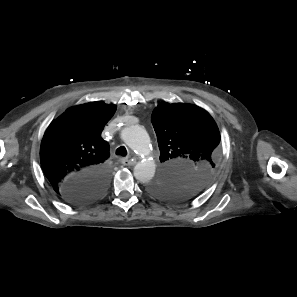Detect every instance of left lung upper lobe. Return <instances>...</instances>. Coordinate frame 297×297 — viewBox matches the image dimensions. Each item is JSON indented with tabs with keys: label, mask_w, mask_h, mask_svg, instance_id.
<instances>
[{
	"label": "left lung upper lobe",
	"mask_w": 297,
	"mask_h": 297,
	"mask_svg": "<svg viewBox=\"0 0 297 297\" xmlns=\"http://www.w3.org/2000/svg\"><path fill=\"white\" fill-rule=\"evenodd\" d=\"M151 121L163 171L149 185L150 193L174 203L191 200L209 183L219 162L215 121L198 106L165 102L154 109Z\"/></svg>",
	"instance_id": "left-lung-upper-lobe-1"
}]
</instances>
